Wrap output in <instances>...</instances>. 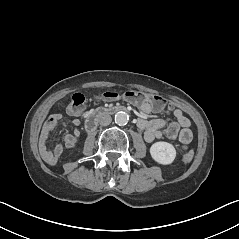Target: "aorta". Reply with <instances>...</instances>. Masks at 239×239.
I'll return each instance as SVG.
<instances>
[{
  "instance_id": "1",
  "label": "aorta",
  "mask_w": 239,
  "mask_h": 239,
  "mask_svg": "<svg viewBox=\"0 0 239 239\" xmlns=\"http://www.w3.org/2000/svg\"><path fill=\"white\" fill-rule=\"evenodd\" d=\"M114 120H115V123L117 125H126L129 121V116L127 113L125 112H118L115 114V117H114Z\"/></svg>"
}]
</instances>
